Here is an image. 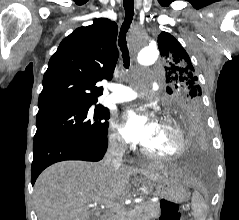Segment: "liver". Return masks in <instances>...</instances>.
Returning <instances> with one entry per match:
<instances>
[{"mask_svg": "<svg viewBox=\"0 0 239 220\" xmlns=\"http://www.w3.org/2000/svg\"><path fill=\"white\" fill-rule=\"evenodd\" d=\"M137 173L154 182L169 179L192 184L180 171L161 175L125 165L109 168L102 162L62 161L48 167L36 180L34 202L38 220H89L91 214L99 220L100 213L90 210V205L113 204L130 189V176Z\"/></svg>", "mask_w": 239, "mask_h": 220, "instance_id": "1", "label": "liver"}]
</instances>
